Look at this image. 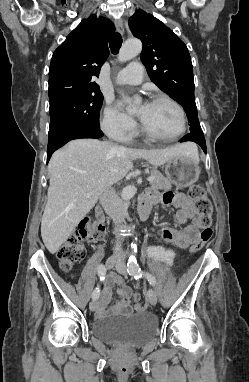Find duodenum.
<instances>
[{"label":"duodenum","mask_w":249,"mask_h":382,"mask_svg":"<svg viewBox=\"0 0 249 382\" xmlns=\"http://www.w3.org/2000/svg\"><path fill=\"white\" fill-rule=\"evenodd\" d=\"M150 206H151L150 202L146 199L139 202L138 212L142 221H145L148 218ZM96 213L98 218L100 219L103 218V212L101 211V209H98Z\"/></svg>","instance_id":"obj_1"}]
</instances>
